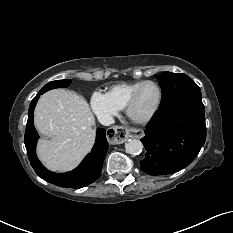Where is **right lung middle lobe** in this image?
<instances>
[{
	"label": "right lung middle lobe",
	"instance_id": "dd1d6c3e",
	"mask_svg": "<svg viewBox=\"0 0 233 233\" xmlns=\"http://www.w3.org/2000/svg\"><path fill=\"white\" fill-rule=\"evenodd\" d=\"M69 84H70V80H55V81L47 83L39 92L45 93L48 90H51L54 88L66 87Z\"/></svg>",
	"mask_w": 233,
	"mask_h": 233
}]
</instances>
